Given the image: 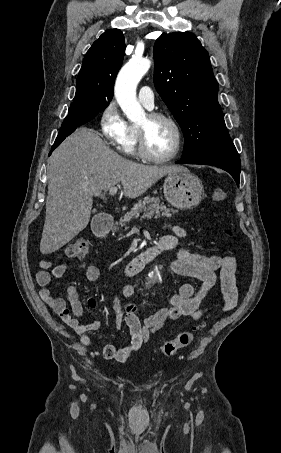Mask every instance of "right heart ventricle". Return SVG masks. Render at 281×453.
Segmentation results:
<instances>
[{"mask_svg": "<svg viewBox=\"0 0 281 453\" xmlns=\"http://www.w3.org/2000/svg\"><path fill=\"white\" fill-rule=\"evenodd\" d=\"M118 149L125 155H135L138 152V127L133 123L126 124L124 136L118 143Z\"/></svg>", "mask_w": 281, "mask_h": 453, "instance_id": "1", "label": "right heart ventricle"}]
</instances>
